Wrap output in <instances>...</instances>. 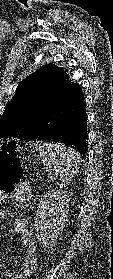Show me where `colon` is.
Segmentation results:
<instances>
[{"mask_svg":"<svg viewBox=\"0 0 113 279\" xmlns=\"http://www.w3.org/2000/svg\"><path fill=\"white\" fill-rule=\"evenodd\" d=\"M17 151L14 144H6L0 150V191L10 195L17 194L24 188Z\"/></svg>","mask_w":113,"mask_h":279,"instance_id":"1","label":"colon"}]
</instances>
